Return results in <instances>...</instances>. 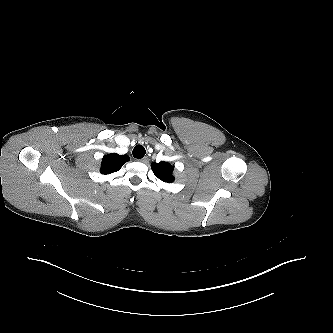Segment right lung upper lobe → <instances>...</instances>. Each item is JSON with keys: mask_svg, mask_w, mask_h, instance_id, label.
Returning <instances> with one entry per match:
<instances>
[{"mask_svg": "<svg viewBox=\"0 0 333 333\" xmlns=\"http://www.w3.org/2000/svg\"><path fill=\"white\" fill-rule=\"evenodd\" d=\"M130 158L128 155L116 153L108 154L103 157L100 172L104 175L118 171Z\"/></svg>", "mask_w": 333, "mask_h": 333, "instance_id": "obj_1", "label": "right lung upper lobe"}]
</instances>
